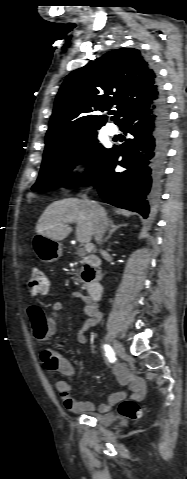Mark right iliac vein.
I'll use <instances>...</instances> for the list:
<instances>
[{
	"instance_id": "right-iliac-vein-1",
	"label": "right iliac vein",
	"mask_w": 187,
	"mask_h": 479,
	"mask_svg": "<svg viewBox=\"0 0 187 479\" xmlns=\"http://www.w3.org/2000/svg\"><path fill=\"white\" fill-rule=\"evenodd\" d=\"M113 348L117 355L123 356L125 354L124 347L118 341H114Z\"/></svg>"
}]
</instances>
